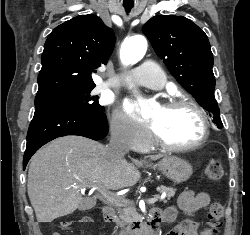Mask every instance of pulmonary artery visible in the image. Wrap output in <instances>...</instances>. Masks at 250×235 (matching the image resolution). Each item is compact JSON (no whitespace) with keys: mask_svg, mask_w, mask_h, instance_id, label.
Masks as SVG:
<instances>
[{"mask_svg":"<svg viewBox=\"0 0 250 235\" xmlns=\"http://www.w3.org/2000/svg\"><path fill=\"white\" fill-rule=\"evenodd\" d=\"M136 72L137 76L133 78V82L138 85L155 90L162 89L165 85L166 77L164 73L153 62L143 63L136 69ZM124 83L122 77H116L114 80L107 82V85L116 86Z\"/></svg>","mask_w":250,"mask_h":235,"instance_id":"pulmonary-artery-1","label":"pulmonary artery"}]
</instances>
